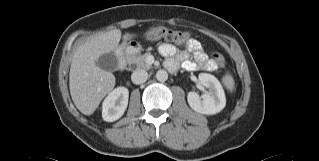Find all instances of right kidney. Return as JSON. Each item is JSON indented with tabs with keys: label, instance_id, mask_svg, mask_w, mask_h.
I'll return each mask as SVG.
<instances>
[{
	"label": "right kidney",
	"instance_id": "obj_1",
	"mask_svg": "<svg viewBox=\"0 0 319 161\" xmlns=\"http://www.w3.org/2000/svg\"><path fill=\"white\" fill-rule=\"evenodd\" d=\"M129 91L126 87H117L111 91L102 103V117L104 121L118 120L128 105Z\"/></svg>",
	"mask_w": 319,
	"mask_h": 161
}]
</instances>
